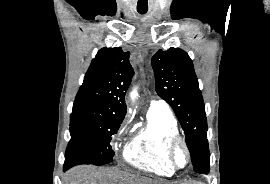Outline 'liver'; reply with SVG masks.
<instances>
[{
    "mask_svg": "<svg viewBox=\"0 0 270 184\" xmlns=\"http://www.w3.org/2000/svg\"><path fill=\"white\" fill-rule=\"evenodd\" d=\"M67 184H169L111 167L76 166L66 173Z\"/></svg>",
    "mask_w": 270,
    "mask_h": 184,
    "instance_id": "1",
    "label": "liver"
}]
</instances>
